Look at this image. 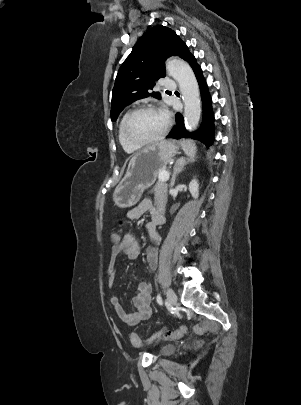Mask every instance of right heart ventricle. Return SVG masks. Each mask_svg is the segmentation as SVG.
Returning a JSON list of instances; mask_svg holds the SVG:
<instances>
[{
    "label": "right heart ventricle",
    "mask_w": 301,
    "mask_h": 405,
    "mask_svg": "<svg viewBox=\"0 0 301 405\" xmlns=\"http://www.w3.org/2000/svg\"><path fill=\"white\" fill-rule=\"evenodd\" d=\"M126 115H124L118 125V140L123 148V150L127 153H134L135 151L138 150V147H134L132 145H130L128 142H126V140L123 137L122 134V125H123V121Z\"/></svg>",
    "instance_id": "obj_1"
}]
</instances>
